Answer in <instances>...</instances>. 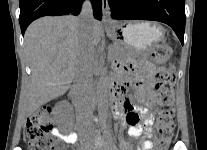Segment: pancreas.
I'll use <instances>...</instances> for the list:
<instances>
[{
  "label": "pancreas",
  "mask_w": 207,
  "mask_h": 150,
  "mask_svg": "<svg viewBox=\"0 0 207 150\" xmlns=\"http://www.w3.org/2000/svg\"><path fill=\"white\" fill-rule=\"evenodd\" d=\"M111 50H112V58L114 60H119L118 55L121 52V48L120 47H115V48H112Z\"/></svg>",
  "instance_id": "pancreas-1"
}]
</instances>
